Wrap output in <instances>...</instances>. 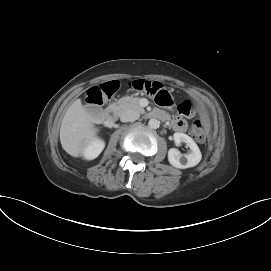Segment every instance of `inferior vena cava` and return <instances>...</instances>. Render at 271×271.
Masks as SVG:
<instances>
[{
    "label": "inferior vena cava",
    "instance_id": "602c4592",
    "mask_svg": "<svg viewBox=\"0 0 271 271\" xmlns=\"http://www.w3.org/2000/svg\"><path fill=\"white\" fill-rule=\"evenodd\" d=\"M140 114L136 110H126L121 113L120 120L122 122H132L139 119Z\"/></svg>",
    "mask_w": 271,
    "mask_h": 271
}]
</instances>
